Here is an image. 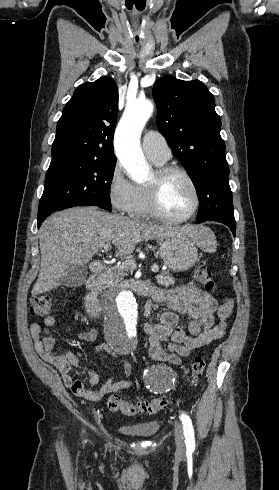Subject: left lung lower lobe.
<instances>
[{"label": "left lung lower lobe", "mask_w": 279, "mask_h": 490, "mask_svg": "<svg viewBox=\"0 0 279 490\" xmlns=\"http://www.w3.org/2000/svg\"><path fill=\"white\" fill-rule=\"evenodd\" d=\"M210 221H217V222L224 223L225 225H227L230 228V230L233 233V236L235 237V231H236V223L235 222H226L223 220H216V219L210 220Z\"/></svg>", "instance_id": "left-lung-lower-lobe-1"}]
</instances>
